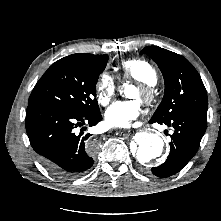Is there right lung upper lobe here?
<instances>
[{"instance_id":"right-lung-upper-lobe-1","label":"right lung upper lobe","mask_w":221,"mask_h":221,"mask_svg":"<svg viewBox=\"0 0 221 221\" xmlns=\"http://www.w3.org/2000/svg\"><path fill=\"white\" fill-rule=\"evenodd\" d=\"M72 56L79 57V58H97L100 55L81 53V54H73Z\"/></svg>"}]
</instances>
